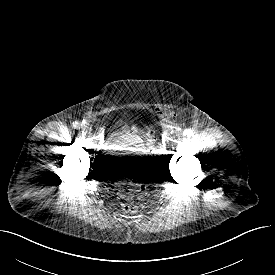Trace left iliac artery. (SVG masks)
Returning a JSON list of instances; mask_svg holds the SVG:
<instances>
[{
	"label": "left iliac artery",
	"mask_w": 275,
	"mask_h": 275,
	"mask_svg": "<svg viewBox=\"0 0 275 275\" xmlns=\"http://www.w3.org/2000/svg\"><path fill=\"white\" fill-rule=\"evenodd\" d=\"M194 133H193V131L191 130V129H186L185 131H184V135L185 136H191V135H193Z\"/></svg>",
	"instance_id": "1"
}]
</instances>
